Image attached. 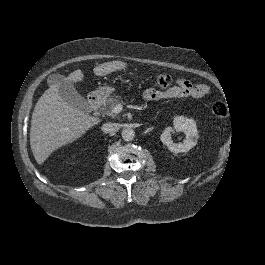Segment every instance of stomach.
Here are the masks:
<instances>
[{
  "instance_id": "obj_1",
  "label": "stomach",
  "mask_w": 265,
  "mask_h": 265,
  "mask_svg": "<svg viewBox=\"0 0 265 265\" xmlns=\"http://www.w3.org/2000/svg\"><path fill=\"white\" fill-rule=\"evenodd\" d=\"M114 91V88L109 86L100 87L95 93L97 95L107 97L110 93Z\"/></svg>"
}]
</instances>
